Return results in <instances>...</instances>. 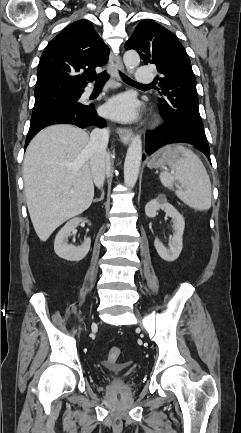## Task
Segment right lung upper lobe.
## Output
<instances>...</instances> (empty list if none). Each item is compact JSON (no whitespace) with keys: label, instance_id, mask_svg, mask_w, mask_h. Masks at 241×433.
I'll list each match as a JSON object with an SVG mask.
<instances>
[{"label":"right lung upper lobe","instance_id":"obj_1","mask_svg":"<svg viewBox=\"0 0 241 433\" xmlns=\"http://www.w3.org/2000/svg\"><path fill=\"white\" fill-rule=\"evenodd\" d=\"M108 55V47L90 22H73L45 48L38 65L35 97L53 92L83 91L95 68L108 61Z\"/></svg>","mask_w":241,"mask_h":433}]
</instances>
